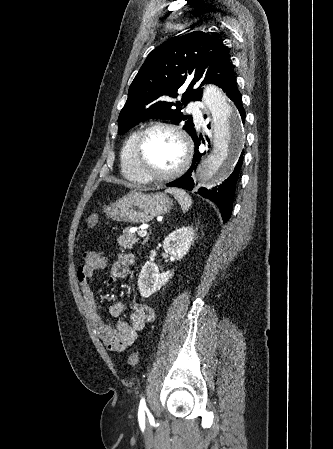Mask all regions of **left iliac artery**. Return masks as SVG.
<instances>
[{"instance_id":"obj_1","label":"left iliac artery","mask_w":333,"mask_h":449,"mask_svg":"<svg viewBox=\"0 0 333 449\" xmlns=\"http://www.w3.org/2000/svg\"><path fill=\"white\" fill-rule=\"evenodd\" d=\"M145 411L148 413V409H147V407H146L145 399L142 398V399L140 400L139 409H138V418H139V419L144 418Z\"/></svg>"}]
</instances>
